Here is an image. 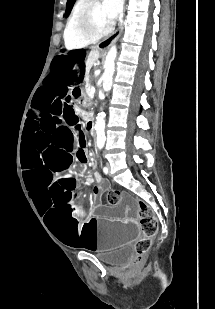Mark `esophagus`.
I'll return each mask as SVG.
<instances>
[{
  "mask_svg": "<svg viewBox=\"0 0 215 309\" xmlns=\"http://www.w3.org/2000/svg\"><path fill=\"white\" fill-rule=\"evenodd\" d=\"M123 30V25L120 26L119 30L112 35V37L105 38L98 44V47L102 50H107L115 41L118 40Z\"/></svg>",
  "mask_w": 215,
  "mask_h": 309,
  "instance_id": "obj_1",
  "label": "esophagus"
}]
</instances>
